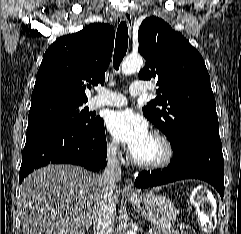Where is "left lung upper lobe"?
I'll use <instances>...</instances> for the list:
<instances>
[{"mask_svg":"<svg viewBox=\"0 0 241 234\" xmlns=\"http://www.w3.org/2000/svg\"><path fill=\"white\" fill-rule=\"evenodd\" d=\"M138 41L146 59L139 78L158 80L157 97L143 114L167 136L173 151L194 136L220 138L210 76L200 53L155 16L141 23Z\"/></svg>","mask_w":241,"mask_h":234,"instance_id":"left-lung-upper-lobe-1","label":"left lung upper lobe"}]
</instances>
